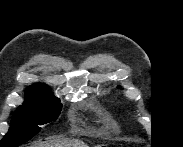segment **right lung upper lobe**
Listing matches in <instances>:
<instances>
[{
    "mask_svg": "<svg viewBox=\"0 0 183 147\" xmlns=\"http://www.w3.org/2000/svg\"><path fill=\"white\" fill-rule=\"evenodd\" d=\"M26 90H44V91H50V88L46 86L45 84H34L32 86H29Z\"/></svg>",
    "mask_w": 183,
    "mask_h": 147,
    "instance_id": "right-lung-upper-lobe-1",
    "label": "right lung upper lobe"
}]
</instances>
